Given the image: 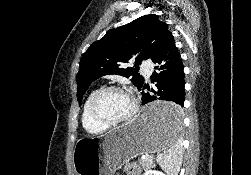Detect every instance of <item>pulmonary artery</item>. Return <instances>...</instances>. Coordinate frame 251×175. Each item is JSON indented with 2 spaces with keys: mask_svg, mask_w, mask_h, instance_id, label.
I'll return each instance as SVG.
<instances>
[{
  "mask_svg": "<svg viewBox=\"0 0 251 175\" xmlns=\"http://www.w3.org/2000/svg\"><path fill=\"white\" fill-rule=\"evenodd\" d=\"M141 69V74L144 75L143 77L145 78V75L149 77L152 74V70H154V65L152 62H143Z\"/></svg>",
  "mask_w": 251,
  "mask_h": 175,
  "instance_id": "pulmonary-artery-1",
  "label": "pulmonary artery"
}]
</instances>
